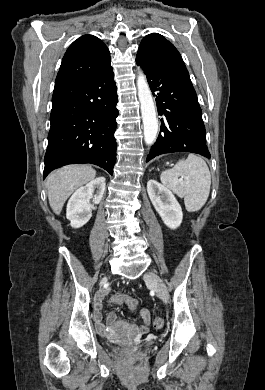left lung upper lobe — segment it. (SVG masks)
I'll use <instances>...</instances> for the list:
<instances>
[{
    "label": "left lung upper lobe",
    "instance_id": "5c2ea615",
    "mask_svg": "<svg viewBox=\"0 0 265 390\" xmlns=\"http://www.w3.org/2000/svg\"><path fill=\"white\" fill-rule=\"evenodd\" d=\"M137 57L154 66L186 69L178 50L158 33H151L143 38Z\"/></svg>",
    "mask_w": 265,
    "mask_h": 390
}]
</instances>
